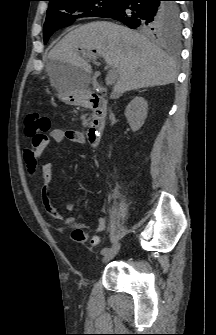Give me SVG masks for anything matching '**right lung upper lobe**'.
<instances>
[{"mask_svg":"<svg viewBox=\"0 0 216 335\" xmlns=\"http://www.w3.org/2000/svg\"><path fill=\"white\" fill-rule=\"evenodd\" d=\"M47 1H49V3H51V2L54 1V0H47Z\"/></svg>","mask_w":216,"mask_h":335,"instance_id":"obj_1","label":"right lung upper lobe"}]
</instances>
